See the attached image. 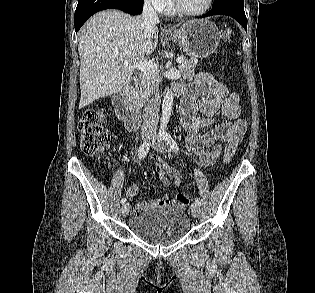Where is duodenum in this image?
Here are the masks:
<instances>
[{
  "mask_svg": "<svg viewBox=\"0 0 315 293\" xmlns=\"http://www.w3.org/2000/svg\"><path fill=\"white\" fill-rule=\"evenodd\" d=\"M133 86L127 85L113 97V106L118 118L125 123L128 130H135L140 122V114L132 102Z\"/></svg>",
  "mask_w": 315,
  "mask_h": 293,
  "instance_id": "duodenum-1",
  "label": "duodenum"
}]
</instances>
